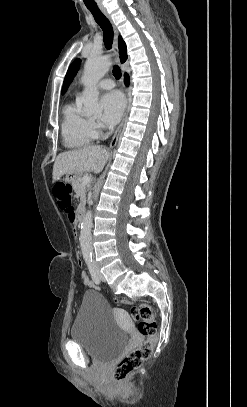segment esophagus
Returning a JSON list of instances; mask_svg holds the SVG:
<instances>
[{
  "label": "esophagus",
  "instance_id": "esophagus-1",
  "mask_svg": "<svg viewBox=\"0 0 247 407\" xmlns=\"http://www.w3.org/2000/svg\"><path fill=\"white\" fill-rule=\"evenodd\" d=\"M100 10L104 14V16L110 21V23H111V25L113 27V31H114L113 54H114L115 62L120 64L119 49H118V31L116 29V26L113 24V21H112L110 15L107 13V11L102 7L100 8ZM126 96H127V103H126V108H125V111H124V115H123L121 123L117 127V129H116V131H115V133H114V135H113V137L111 139L109 148H113L117 144L119 134H120V132H121L123 126H124V123L126 121V117H127V113H128V109H129V105H130V101H131L130 93H129L127 88H126Z\"/></svg>",
  "mask_w": 247,
  "mask_h": 407
}]
</instances>
